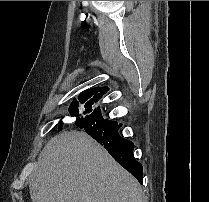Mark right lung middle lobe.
<instances>
[{"mask_svg": "<svg viewBox=\"0 0 209 202\" xmlns=\"http://www.w3.org/2000/svg\"><path fill=\"white\" fill-rule=\"evenodd\" d=\"M79 101L81 102V95L79 96ZM69 111L71 116H77L79 114L78 102L76 100H74L73 103L70 105ZM62 126L63 123L60 122L58 125V129L61 130Z\"/></svg>", "mask_w": 209, "mask_h": 202, "instance_id": "dd1d6c3e", "label": "right lung middle lobe"}]
</instances>
